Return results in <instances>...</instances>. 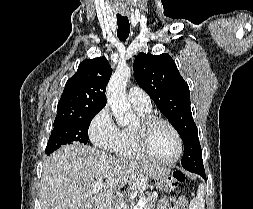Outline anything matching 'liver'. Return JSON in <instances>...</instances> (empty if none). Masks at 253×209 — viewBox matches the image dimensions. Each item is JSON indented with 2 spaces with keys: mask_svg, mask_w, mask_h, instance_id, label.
I'll use <instances>...</instances> for the list:
<instances>
[{
  "mask_svg": "<svg viewBox=\"0 0 253 209\" xmlns=\"http://www.w3.org/2000/svg\"><path fill=\"white\" fill-rule=\"evenodd\" d=\"M169 172L83 144L62 146L43 163L41 209H111L114 193L127 183L130 189H142L148 178L156 179ZM97 182L105 185L93 193Z\"/></svg>",
  "mask_w": 253,
  "mask_h": 209,
  "instance_id": "1",
  "label": "liver"
}]
</instances>
